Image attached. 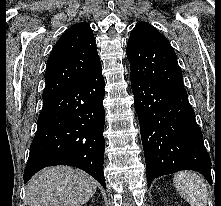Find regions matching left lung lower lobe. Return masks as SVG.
Returning a JSON list of instances; mask_svg holds the SVG:
<instances>
[{
  "instance_id": "1",
  "label": "left lung lower lobe",
  "mask_w": 221,
  "mask_h": 206,
  "mask_svg": "<svg viewBox=\"0 0 221 206\" xmlns=\"http://www.w3.org/2000/svg\"><path fill=\"white\" fill-rule=\"evenodd\" d=\"M130 78L148 187L156 177L180 170L198 171L211 184V160L187 93Z\"/></svg>"
}]
</instances>
